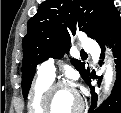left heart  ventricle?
Masks as SVG:
<instances>
[{"mask_svg":"<svg viewBox=\"0 0 121 113\" xmlns=\"http://www.w3.org/2000/svg\"><path fill=\"white\" fill-rule=\"evenodd\" d=\"M78 104L77 96L69 89H60L55 93V105L53 110L58 113L70 112Z\"/></svg>","mask_w":121,"mask_h":113,"instance_id":"1","label":"left heart ventricle"}]
</instances>
